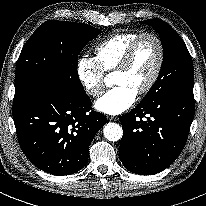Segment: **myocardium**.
<instances>
[{"instance_id":"f54148a6","label":"myocardium","mask_w":206,"mask_h":206,"mask_svg":"<svg viewBox=\"0 0 206 206\" xmlns=\"http://www.w3.org/2000/svg\"><path fill=\"white\" fill-rule=\"evenodd\" d=\"M145 37H150L152 38L158 47V61H157V65L155 67V70L151 76V78L149 79V81L147 82V84L145 86H143L138 92L137 95L138 96H142L147 94L148 92H150L152 90V88L155 86V84L157 83L160 74L162 72L163 69V65H164V60H165V49H164V45L163 42L161 40V38L153 33V32H143L140 33L129 45L127 51L125 52L120 64L116 67V69L114 70V73H118V72H126L134 58V55L136 53L137 47L139 45V43L141 42V40Z\"/></svg>"}]
</instances>
